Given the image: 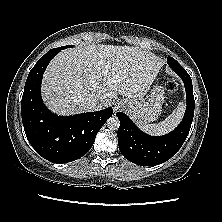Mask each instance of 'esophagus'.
Returning <instances> with one entry per match:
<instances>
[{
	"mask_svg": "<svg viewBox=\"0 0 222 222\" xmlns=\"http://www.w3.org/2000/svg\"><path fill=\"white\" fill-rule=\"evenodd\" d=\"M122 107V102H118L115 104L114 111L119 110Z\"/></svg>",
	"mask_w": 222,
	"mask_h": 222,
	"instance_id": "34e87169",
	"label": "esophagus"
}]
</instances>
